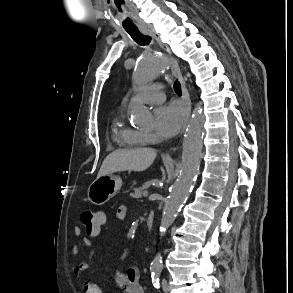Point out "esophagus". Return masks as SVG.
<instances>
[{
	"label": "esophagus",
	"mask_w": 293,
	"mask_h": 293,
	"mask_svg": "<svg viewBox=\"0 0 293 293\" xmlns=\"http://www.w3.org/2000/svg\"><path fill=\"white\" fill-rule=\"evenodd\" d=\"M140 30L144 34L152 36L164 51L170 53V49H169L168 45L165 44L164 42H162L159 33L155 30V28L152 25L144 24L140 27ZM171 69H172V73L174 74V76L177 77L181 83L182 97H183V100L186 105L187 120H188V118L190 117V114H191V100H190V96H189V93H188V90L186 87V83H185V80L182 76V73H181V70H180L178 63L174 60L172 62ZM187 120H186V122H187Z\"/></svg>",
	"instance_id": "1"
}]
</instances>
